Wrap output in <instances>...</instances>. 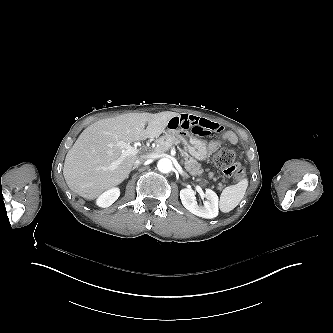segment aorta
I'll use <instances>...</instances> for the list:
<instances>
[{
	"label": "aorta",
	"instance_id": "aorta-1",
	"mask_svg": "<svg viewBox=\"0 0 333 333\" xmlns=\"http://www.w3.org/2000/svg\"><path fill=\"white\" fill-rule=\"evenodd\" d=\"M158 170L162 173H169L173 168L172 161L168 158H162L158 162Z\"/></svg>",
	"mask_w": 333,
	"mask_h": 333
}]
</instances>
